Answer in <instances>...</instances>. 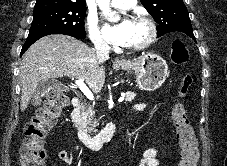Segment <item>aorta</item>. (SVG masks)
Returning a JSON list of instances; mask_svg holds the SVG:
<instances>
[{
	"label": "aorta",
	"mask_w": 227,
	"mask_h": 166,
	"mask_svg": "<svg viewBox=\"0 0 227 166\" xmlns=\"http://www.w3.org/2000/svg\"><path fill=\"white\" fill-rule=\"evenodd\" d=\"M109 2L110 0H97L99 8L102 10L103 15L106 17L112 14L111 9L109 7Z\"/></svg>",
	"instance_id": "762f6f07"
}]
</instances>
